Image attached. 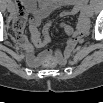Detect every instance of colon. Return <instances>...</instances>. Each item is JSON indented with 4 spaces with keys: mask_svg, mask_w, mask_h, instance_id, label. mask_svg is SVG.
I'll list each match as a JSON object with an SVG mask.
<instances>
[{
    "mask_svg": "<svg viewBox=\"0 0 103 103\" xmlns=\"http://www.w3.org/2000/svg\"><path fill=\"white\" fill-rule=\"evenodd\" d=\"M17 25H24L25 24V17L23 18H18L16 20ZM55 64V61L52 58H47L44 62L45 67H51Z\"/></svg>",
    "mask_w": 103,
    "mask_h": 103,
    "instance_id": "colon-1",
    "label": "colon"
}]
</instances>
